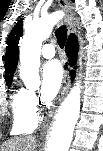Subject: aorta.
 <instances>
[{"label":"aorta","instance_id":"1","mask_svg":"<svg viewBox=\"0 0 103 151\" xmlns=\"http://www.w3.org/2000/svg\"><path fill=\"white\" fill-rule=\"evenodd\" d=\"M63 15L62 11H56L26 23L19 52L20 76L23 80H26L29 76L37 75L42 42L50 36L54 25L62 19ZM79 113L80 87L76 83V86L73 87L58 109L46 151L69 150Z\"/></svg>","mask_w":103,"mask_h":151}]
</instances>
